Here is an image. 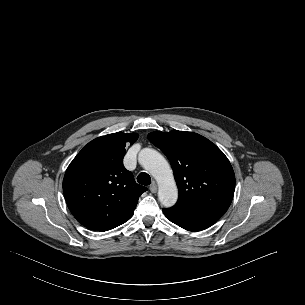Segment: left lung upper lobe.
I'll return each instance as SVG.
<instances>
[{
	"mask_svg": "<svg viewBox=\"0 0 305 305\" xmlns=\"http://www.w3.org/2000/svg\"><path fill=\"white\" fill-rule=\"evenodd\" d=\"M149 141L169 159L178 186L173 211L225 213L233 199L235 175L224 153L194 132H152Z\"/></svg>",
	"mask_w": 305,
	"mask_h": 305,
	"instance_id": "5c2ea615",
	"label": "left lung upper lobe"
}]
</instances>
